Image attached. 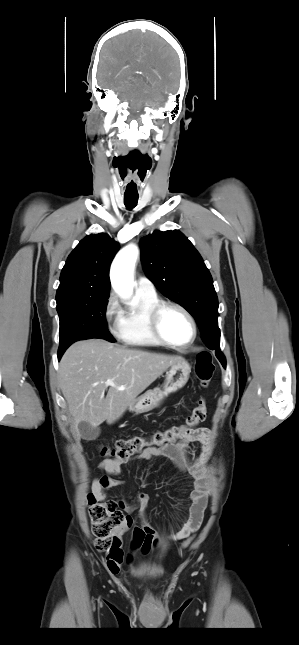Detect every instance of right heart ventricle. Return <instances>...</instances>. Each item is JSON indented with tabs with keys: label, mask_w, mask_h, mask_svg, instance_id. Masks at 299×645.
I'll return each mask as SVG.
<instances>
[{
	"label": "right heart ventricle",
	"mask_w": 299,
	"mask_h": 645,
	"mask_svg": "<svg viewBox=\"0 0 299 645\" xmlns=\"http://www.w3.org/2000/svg\"><path fill=\"white\" fill-rule=\"evenodd\" d=\"M160 302L158 295L136 291L135 302L120 312L116 335L126 345L136 347L160 346L162 343L153 335L149 314Z\"/></svg>",
	"instance_id": "obj_1"
}]
</instances>
